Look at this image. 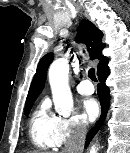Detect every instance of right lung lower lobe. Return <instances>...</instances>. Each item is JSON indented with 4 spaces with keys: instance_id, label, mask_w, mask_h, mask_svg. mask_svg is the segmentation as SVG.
I'll use <instances>...</instances> for the list:
<instances>
[{
    "instance_id": "obj_1",
    "label": "right lung lower lobe",
    "mask_w": 130,
    "mask_h": 153,
    "mask_svg": "<svg viewBox=\"0 0 130 153\" xmlns=\"http://www.w3.org/2000/svg\"><path fill=\"white\" fill-rule=\"evenodd\" d=\"M110 74V69L106 66L103 70H101L98 75V79L100 83L98 84V96L101 103V116L97 124L89 131L86 137L85 147H87L92 140L93 136L97 133L101 125L103 124L105 117L107 115V111L110 103V90L109 87L105 84L108 75Z\"/></svg>"
}]
</instances>
